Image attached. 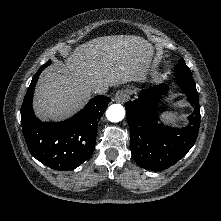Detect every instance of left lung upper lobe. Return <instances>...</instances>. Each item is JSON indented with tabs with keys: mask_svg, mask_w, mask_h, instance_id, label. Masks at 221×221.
<instances>
[{
	"mask_svg": "<svg viewBox=\"0 0 221 221\" xmlns=\"http://www.w3.org/2000/svg\"><path fill=\"white\" fill-rule=\"evenodd\" d=\"M175 74H191L183 59H180L179 63L175 66Z\"/></svg>",
	"mask_w": 221,
	"mask_h": 221,
	"instance_id": "5c2ea615",
	"label": "left lung upper lobe"
}]
</instances>
